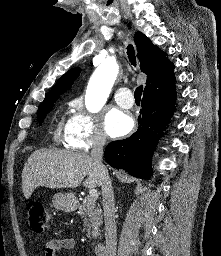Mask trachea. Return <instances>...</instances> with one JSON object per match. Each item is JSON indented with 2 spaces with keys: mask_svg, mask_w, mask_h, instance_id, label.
Segmentation results:
<instances>
[{
  "mask_svg": "<svg viewBox=\"0 0 221 256\" xmlns=\"http://www.w3.org/2000/svg\"><path fill=\"white\" fill-rule=\"evenodd\" d=\"M127 54H128V58H129V61L131 62V64L136 66V56H135L134 47L132 45H128ZM142 92H143V86H139L136 88L135 93H134V98H135L136 102H140Z\"/></svg>",
  "mask_w": 221,
  "mask_h": 256,
  "instance_id": "3493384b",
  "label": "trachea"
}]
</instances>
